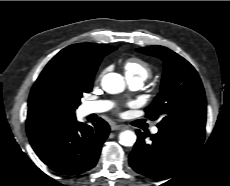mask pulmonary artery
<instances>
[{
    "mask_svg": "<svg viewBox=\"0 0 230 186\" xmlns=\"http://www.w3.org/2000/svg\"><path fill=\"white\" fill-rule=\"evenodd\" d=\"M127 82L132 90H138L143 86V80L140 78H132L127 77ZM112 104L109 101L100 100L94 102H87L84 104V113L85 114H92V113H102L111 108ZM158 128L156 126L151 128V132L156 134L158 132Z\"/></svg>",
    "mask_w": 230,
    "mask_h": 186,
    "instance_id": "pulmonary-artery-1",
    "label": "pulmonary artery"
}]
</instances>
